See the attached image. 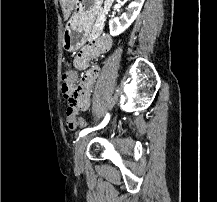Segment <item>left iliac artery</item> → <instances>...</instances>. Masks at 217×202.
<instances>
[{
  "label": "left iliac artery",
  "instance_id": "44dca946",
  "mask_svg": "<svg viewBox=\"0 0 217 202\" xmlns=\"http://www.w3.org/2000/svg\"><path fill=\"white\" fill-rule=\"evenodd\" d=\"M109 120H110V115H109V113H107L104 120L101 122V124H99L97 127H94V128L83 129L79 133V137H83V136L87 135L88 133H90L92 131H95V130H98V129H101V128L105 127L107 125V123L109 122Z\"/></svg>",
  "mask_w": 217,
  "mask_h": 202
}]
</instances>
